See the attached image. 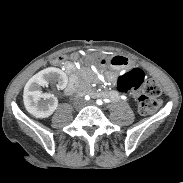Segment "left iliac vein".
<instances>
[{"instance_id": "obj_1", "label": "left iliac vein", "mask_w": 183, "mask_h": 183, "mask_svg": "<svg viewBox=\"0 0 183 183\" xmlns=\"http://www.w3.org/2000/svg\"><path fill=\"white\" fill-rule=\"evenodd\" d=\"M86 105H94V102L89 101V102L86 103Z\"/></svg>"}]
</instances>
